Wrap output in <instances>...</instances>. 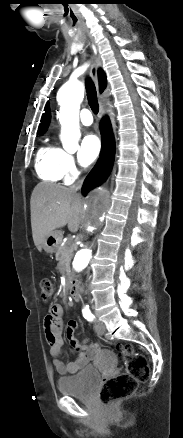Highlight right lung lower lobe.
<instances>
[{"label":"right lung lower lobe","instance_id":"obj_1","mask_svg":"<svg viewBox=\"0 0 183 438\" xmlns=\"http://www.w3.org/2000/svg\"><path fill=\"white\" fill-rule=\"evenodd\" d=\"M102 152L101 157L94 169L86 177L82 193L85 196L91 189L101 185L108 177L115 155L114 138L109 120L103 119L101 122Z\"/></svg>","mask_w":183,"mask_h":438}]
</instances>
